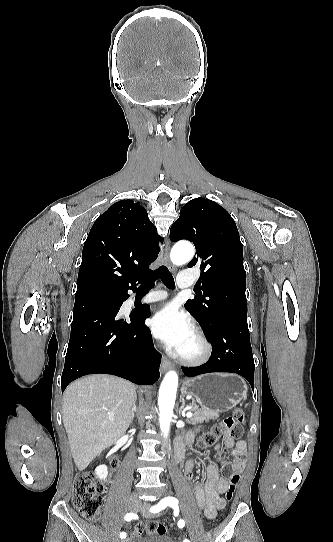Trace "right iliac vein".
<instances>
[{
	"label": "right iliac vein",
	"instance_id": "63e3f726",
	"mask_svg": "<svg viewBox=\"0 0 333 542\" xmlns=\"http://www.w3.org/2000/svg\"><path fill=\"white\" fill-rule=\"evenodd\" d=\"M129 506H128V509L131 511V512H135L137 511L140 507H141V502H140V499L137 497V496H132L129 500ZM122 542H129V539H125L123 540Z\"/></svg>",
	"mask_w": 333,
	"mask_h": 542
}]
</instances>
